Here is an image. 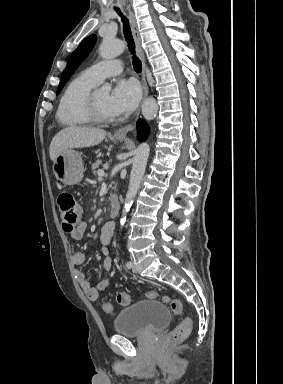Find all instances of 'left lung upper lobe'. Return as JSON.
Wrapping results in <instances>:
<instances>
[{
    "label": "left lung upper lobe",
    "mask_w": 283,
    "mask_h": 384,
    "mask_svg": "<svg viewBox=\"0 0 283 384\" xmlns=\"http://www.w3.org/2000/svg\"><path fill=\"white\" fill-rule=\"evenodd\" d=\"M97 37L95 35H91L84 39L77 49L71 54L67 66L64 69L61 81L59 83L57 94L61 91L62 87L68 81L70 76L73 74L74 70L81 64V62L88 56L92 47L96 42Z\"/></svg>",
    "instance_id": "obj_1"
}]
</instances>
